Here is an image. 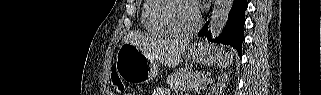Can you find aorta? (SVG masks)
I'll return each instance as SVG.
<instances>
[{
    "label": "aorta",
    "instance_id": "762f6f07",
    "mask_svg": "<svg viewBox=\"0 0 321 95\" xmlns=\"http://www.w3.org/2000/svg\"><path fill=\"white\" fill-rule=\"evenodd\" d=\"M232 5L233 0H215L209 24L212 38L221 34L227 23Z\"/></svg>",
    "mask_w": 321,
    "mask_h": 95
}]
</instances>
